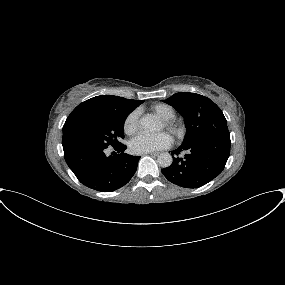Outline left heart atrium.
Here are the masks:
<instances>
[{
  "instance_id": "left-heart-atrium-1",
  "label": "left heart atrium",
  "mask_w": 285,
  "mask_h": 285,
  "mask_svg": "<svg viewBox=\"0 0 285 285\" xmlns=\"http://www.w3.org/2000/svg\"><path fill=\"white\" fill-rule=\"evenodd\" d=\"M171 138L166 133L145 134L135 136L129 143L130 150L135 154H145L169 147Z\"/></svg>"
}]
</instances>
